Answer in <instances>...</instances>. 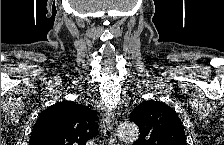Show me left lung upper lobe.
<instances>
[{
  "label": "left lung upper lobe",
  "instance_id": "obj_1",
  "mask_svg": "<svg viewBox=\"0 0 224 145\" xmlns=\"http://www.w3.org/2000/svg\"><path fill=\"white\" fill-rule=\"evenodd\" d=\"M130 121L135 122L140 130L136 145H186L181 120L165 103L143 101L133 109Z\"/></svg>",
  "mask_w": 224,
  "mask_h": 145
}]
</instances>
